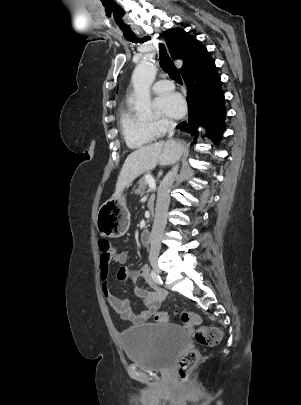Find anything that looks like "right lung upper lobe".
Masks as SVG:
<instances>
[{"instance_id": "1", "label": "right lung upper lobe", "mask_w": 301, "mask_h": 405, "mask_svg": "<svg viewBox=\"0 0 301 405\" xmlns=\"http://www.w3.org/2000/svg\"><path fill=\"white\" fill-rule=\"evenodd\" d=\"M169 52L174 59H183L181 74L211 59L209 52L194 37L183 29L176 28L162 33Z\"/></svg>"}]
</instances>
